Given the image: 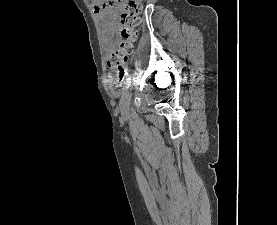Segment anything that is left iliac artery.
Wrapping results in <instances>:
<instances>
[{
  "mask_svg": "<svg viewBox=\"0 0 277 225\" xmlns=\"http://www.w3.org/2000/svg\"><path fill=\"white\" fill-rule=\"evenodd\" d=\"M132 80H133V76H132V75L128 76V77L125 79L124 84H123V87H122V91H123V92L128 88V86H129V84L131 83Z\"/></svg>",
  "mask_w": 277,
  "mask_h": 225,
  "instance_id": "left-iliac-artery-1",
  "label": "left iliac artery"
}]
</instances>
